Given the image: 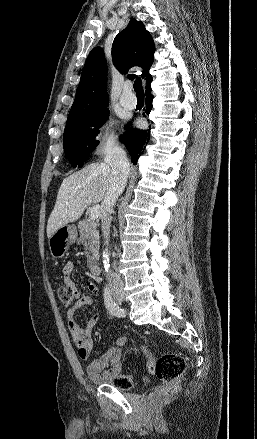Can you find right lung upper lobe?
<instances>
[{"instance_id": "obj_1", "label": "right lung upper lobe", "mask_w": 257, "mask_h": 439, "mask_svg": "<svg viewBox=\"0 0 257 439\" xmlns=\"http://www.w3.org/2000/svg\"><path fill=\"white\" fill-rule=\"evenodd\" d=\"M154 51L155 46L150 33L141 21L132 19L114 39L112 59L115 67L122 74H126L133 66L142 67L141 76L147 82L152 78L149 68L153 63ZM106 71L104 52L101 47H95L85 62L67 121L89 115L108 106ZM131 76L135 77V75Z\"/></svg>"}]
</instances>
